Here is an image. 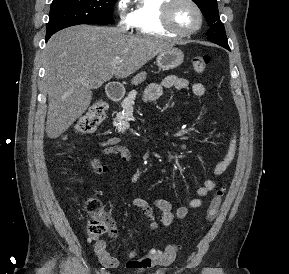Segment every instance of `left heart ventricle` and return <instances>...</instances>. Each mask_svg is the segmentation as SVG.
Masks as SVG:
<instances>
[{"mask_svg": "<svg viewBox=\"0 0 289 274\" xmlns=\"http://www.w3.org/2000/svg\"><path fill=\"white\" fill-rule=\"evenodd\" d=\"M174 25L181 30H189L198 24V15L195 9L186 1H179L172 11Z\"/></svg>", "mask_w": 289, "mask_h": 274, "instance_id": "1", "label": "left heart ventricle"}]
</instances>
